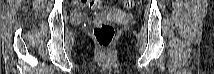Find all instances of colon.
I'll return each instance as SVG.
<instances>
[{"instance_id": "obj_1", "label": "colon", "mask_w": 214, "mask_h": 74, "mask_svg": "<svg viewBox=\"0 0 214 74\" xmlns=\"http://www.w3.org/2000/svg\"><path fill=\"white\" fill-rule=\"evenodd\" d=\"M125 8L130 9L135 5L134 0H124L122 1ZM89 8L94 10H100L105 8V3L102 1L91 0L87 2ZM94 37L101 49L103 54H108L110 51L113 42L115 40L116 31L114 26L111 23L98 21L96 22L93 29Z\"/></svg>"}]
</instances>
